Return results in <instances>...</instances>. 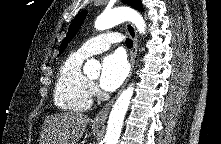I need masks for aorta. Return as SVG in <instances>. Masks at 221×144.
Returning a JSON list of instances; mask_svg holds the SVG:
<instances>
[{
  "mask_svg": "<svg viewBox=\"0 0 221 144\" xmlns=\"http://www.w3.org/2000/svg\"><path fill=\"white\" fill-rule=\"evenodd\" d=\"M124 21L132 22L139 33H145L146 24L143 17L137 11L128 7H117L110 11H104L97 17L94 26L97 30L102 31L112 28ZM100 68V63L92 58L86 61L83 71L87 75L97 76L99 75ZM133 90V85H129L127 89L123 90L113 105L107 124L105 144H118L124 117L129 107Z\"/></svg>",
  "mask_w": 221,
  "mask_h": 144,
  "instance_id": "762f6f07",
  "label": "aorta"
}]
</instances>
